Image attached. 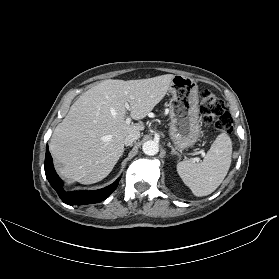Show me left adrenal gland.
<instances>
[{
  "mask_svg": "<svg viewBox=\"0 0 279 279\" xmlns=\"http://www.w3.org/2000/svg\"><path fill=\"white\" fill-rule=\"evenodd\" d=\"M167 145H168V147L171 148V154H172V155L181 156V155L173 148V146H171L170 143H168Z\"/></svg>",
  "mask_w": 279,
  "mask_h": 279,
  "instance_id": "obj_1",
  "label": "left adrenal gland"
}]
</instances>
